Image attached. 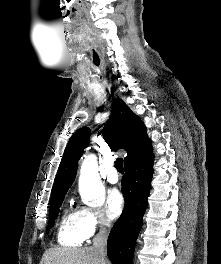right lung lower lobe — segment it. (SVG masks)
I'll return each mask as SVG.
<instances>
[{"mask_svg": "<svg viewBox=\"0 0 221 264\" xmlns=\"http://www.w3.org/2000/svg\"><path fill=\"white\" fill-rule=\"evenodd\" d=\"M154 155L150 158L125 166L122 179V193L125 208L112 227L107 255L113 264H132L136 239L143 224L151 189Z\"/></svg>", "mask_w": 221, "mask_h": 264, "instance_id": "1", "label": "right lung lower lobe"}]
</instances>
